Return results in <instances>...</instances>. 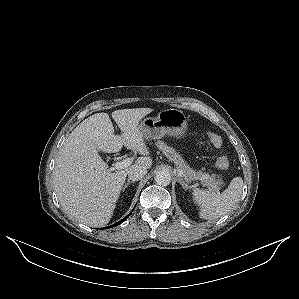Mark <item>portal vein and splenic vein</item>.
Here are the masks:
<instances>
[{
  "mask_svg": "<svg viewBox=\"0 0 299 299\" xmlns=\"http://www.w3.org/2000/svg\"><path fill=\"white\" fill-rule=\"evenodd\" d=\"M132 162H133L132 158H125V159L119 160V161L115 162L114 167L112 169L113 170H115V169H117V170L125 169L128 166H130L132 164ZM177 173H178L179 176H183L182 170L178 169Z\"/></svg>",
  "mask_w": 299,
  "mask_h": 299,
  "instance_id": "obj_1",
  "label": "portal vein and splenic vein"
}]
</instances>
